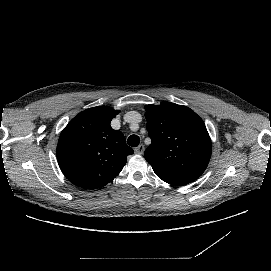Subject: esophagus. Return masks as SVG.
Returning <instances> with one entry per match:
<instances>
[{"instance_id": "obj_1", "label": "esophagus", "mask_w": 271, "mask_h": 271, "mask_svg": "<svg viewBox=\"0 0 271 271\" xmlns=\"http://www.w3.org/2000/svg\"><path fill=\"white\" fill-rule=\"evenodd\" d=\"M144 151H145V146L143 144L139 145L138 147L134 149L135 154H139V155L143 154Z\"/></svg>"}]
</instances>
